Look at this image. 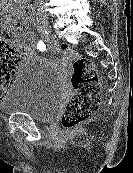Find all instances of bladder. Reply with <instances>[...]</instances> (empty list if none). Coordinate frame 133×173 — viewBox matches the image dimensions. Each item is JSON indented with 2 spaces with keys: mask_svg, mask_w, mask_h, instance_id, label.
<instances>
[{
  "mask_svg": "<svg viewBox=\"0 0 133 173\" xmlns=\"http://www.w3.org/2000/svg\"><path fill=\"white\" fill-rule=\"evenodd\" d=\"M64 92L60 74L48 63L32 60L22 65L0 101L4 113H25L47 121L56 113Z\"/></svg>",
  "mask_w": 133,
  "mask_h": 173,
  "instance_id": "1",
  "label": "bladder"
}]
</instances>
